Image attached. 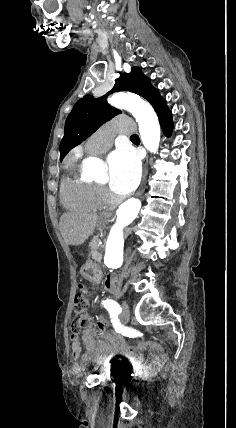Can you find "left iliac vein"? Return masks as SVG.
<instances>
[{
  "mask_svg": "<svg viewBox=\"0 0 236 428\" xmlns=\"http://www.w3.org/2000/svg\"><path fill=\"white\" fill-rule=\"evenodd\" d=\"M121 311H122L121 315L123 316L121 321H122L124 326H127L129 321H130L129 318H130V313H131V310H130L127 302L121 303Z\"/></svg>",
  "mask_w": 236,
  "mask_h": 428,
  "instance_id": "1",
  "label": "left iliac vein"
}]
</instances>
